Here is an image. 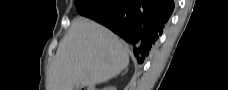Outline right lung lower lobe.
Here are the masks:
<instances>
[{
	"instance_id": "1",
	"label": "right lung lower lobe",
	"mask_w": 228,
	"mask_h": 90,
	"mask_svg": "<svg viewBox=\"0 0 228 90\" xmlns=\"http://www.w3.org/2000/svg\"><path fill=\"white\" fill-rule=\"evenodd\" d=\"M101 12L88 16L123 38L139 64L154 48L174 9L173 0H105Z\"/></svg>"
}]
</instances>
